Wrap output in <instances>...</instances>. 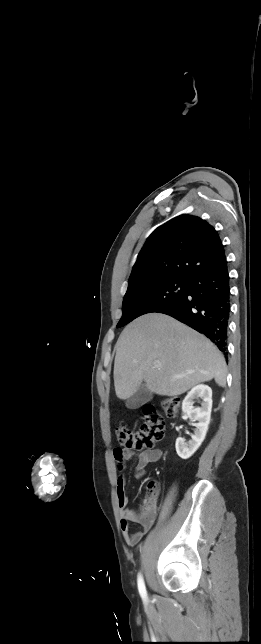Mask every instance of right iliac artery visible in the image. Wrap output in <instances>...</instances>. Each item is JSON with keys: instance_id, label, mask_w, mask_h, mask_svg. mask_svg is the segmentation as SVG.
<instances>
[{"instance_id": "right-iliac-artery-1", "label": "right iliac artery", "mask_w": 261, "mask_h": 644, "mask_svg": "<svg viewBox=\"0 0 261 644\" xmlns=\"http://www.w3.org/2000/svg\"><path fill=\"white\" fill-rule=\"evenodd\" d=\"M137 582H138V590H139V593H140V595H141L142 599L146 600V599H147V593H146V588H145L144 580H143V578H142V575H141V574H139V575H138V581H137Z\"/></svg>"}]
</instances>
